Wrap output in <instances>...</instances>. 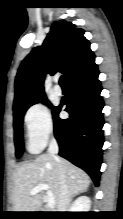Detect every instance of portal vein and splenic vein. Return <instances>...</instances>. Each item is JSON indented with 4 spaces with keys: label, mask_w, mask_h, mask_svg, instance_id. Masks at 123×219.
<instances>
[{
    "label": "portal vein and splenic vein",
    "mask_w": 123,
    "mask_h": 219,
    "mask_svg": "<svg viewBox=\"0 0 123 219\" xmlns=\"http://www.w3.org/2000/svg\"><path fill=\"white\" fill-rule=\"evenodd\" d=\"M42 190H46V202L50 208H54L56 205L55 197L53 193L49 190V186L47 184H38L35 186L29 193L31 195H35Z\"/></svg>",
    "instance_id": "obj_1"
}]
</instances>
